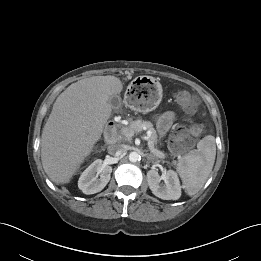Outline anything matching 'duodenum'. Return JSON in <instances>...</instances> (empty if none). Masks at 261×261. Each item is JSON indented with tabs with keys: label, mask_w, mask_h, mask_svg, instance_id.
Returning a JSON list of instances; mask_svg holds the SVG:
<instances>
[{
	"label": "duodenum",
	"mask_w": 261,
	"mask_h": 261,
	"mask_svg": "<svg viewBox=\"0 0 261 261\" xmlns=\"http://www.w3.org/2000/svg\"><path fill=\"white\" fill-rule=\"evenodd\" d=\"M105 136L110 143H114L117 139L116 125L112 121H109L106 125Z\"/></svg>",
	"instance_id": "1"
}]
</instances>
